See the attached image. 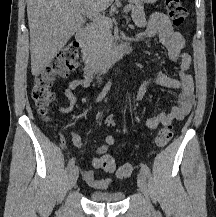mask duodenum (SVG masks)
<instances>
[{"instance_id":"duodenum-1","label":"duodenum","mask_w":216,"mask_h":217,"mask_svg":"<svg viewBox=\"0 0 216 217\" xmlns=\"http://www.w3.org/2000/svg\"><path fill=\"white\" fill-rule=\"evenodd\" d=\"M76 38L82 46L87 45V29H79L76 33ZM138 40V37H128L124 40L110 46L103 54H98L93 51H88L84 56L85 68L84 74L94 76L99 74L113 65L122 55L128 52L133 43Z\"/></svg>"}]
</instances>
